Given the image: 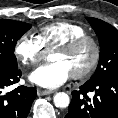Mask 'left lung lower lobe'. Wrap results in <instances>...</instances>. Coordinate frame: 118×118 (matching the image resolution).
I'll return each mask as SVG.
<instances>
[{
  "mask_svg": "<svg viewBox=\"0 0 118 118\" xmlns=\"http://www.w3.org/2000/svg\"><path fill=\"white\" fill-rule=\"evenodd\" d=\"M88 92H94L92 99ZM65 118H118V76L96 83L86 82L72 92Z\"/></svg>",
  "mask_w": 118,
  "mask_h": 118,
  "instance_id": "1",
  "label": "left lung lower lobe"
}]
</instances>
